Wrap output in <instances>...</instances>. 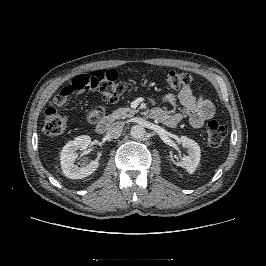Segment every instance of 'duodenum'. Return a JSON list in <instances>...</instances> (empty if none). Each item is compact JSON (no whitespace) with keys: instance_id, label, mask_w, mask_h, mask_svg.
I'll return each mask as SVG.
<instances>
[{"instance_id":"obj_1","label":"duodenum","mask_w":266,"mask_h":266,"mask_svg":"<svg viewBox=\"0 0 266 266\" xmlns=\"http://www.w3.org/2000/svg\"><path fill=\"white\" fill-rule=\"evenodd\" d=\"M148 117L151 119L162 121L165 118V114L159 109H151L148 112ZM89 118L90 121L95 125L97 133L101 135L105 134L109 130L110 125L112 123L109 118L99 115L95 112L91 113L89 115Z\"/></svg>"}]
</instances>
